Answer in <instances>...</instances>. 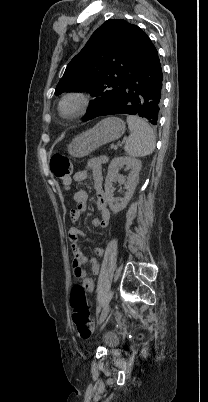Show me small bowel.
I'll return each instance as SVG.
<instances>
[{"label": "small bowel", "instance_id": "1", "mask_svg": "<svg viewBox=\"0 0 208 402\" xmlns=\"http://www.w3.org/2000/svg\"><path fill=\"white\" fill-rule=\"evenodd\" d=\"M107 161L104 157H94L89 159L85 166L74 173L73 179L76 182H85L88 179L89 172H92L93 178V186L97 193V208L100 212V217L92 220L93 227H100L104 229H108L110 227L111 221V213L107 207L106 199L104 195L103 188V175H102V164ZM87 199L88 192L85 189H79L74 193V200L77 204L76 209L72 210L70 213V219L73 222H77L82 213H84L87 209ZM85 237V233L82 229L78 227H71L68 232L69 241L72 245H76L77 242ZM95 253L97 256L103 255L102 248H96ZM87 262V258L84 256L81 250L78 248H74L73 250V267L75 276L81 278L85 284V286L92 290L94 287L93 279L87 275L86 271L83 268L84 263ZM91 270L94 274L99 272L100 265L99 262L92 258L90 260Z\"/></svg>", "mask_w": 208, "mask_h": 402}]
</instances>
